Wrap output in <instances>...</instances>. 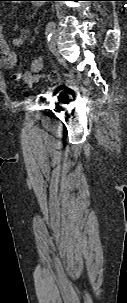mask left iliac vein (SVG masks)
<instances>
[{"label": "left iliac vein", "mask_w": 127, "mask_h": 303, "mask_svg": "<svg viewBox=\"0 0 127 303\" xmlns=\"http://www.w3.org/2000/svg\"><path fill=\"white\" fill-rule=\"evenodd\" d=\"M58 39H59V33L56 29H54L53 32H52V36L50 37L49 47H50L51 51L53 52V54L58 59H60L61 55H60V53L58 51V48H57Z\"/></svg>", "instance_id": "obj_1"}]
</instances>
